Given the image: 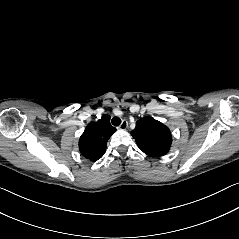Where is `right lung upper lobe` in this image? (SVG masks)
Returning <instances> with one entry per match:
<instances>
[{
  "label": "right lung upper lobe",
  "instance_id": "obj_1",
  "mask_svg": "<svg viewBox=\"0 0 239 239\" xmlns=\"http://www.w3.org/2000/svg\"><path fill=\"white\" fill-rule=\"evenodd\" d=\"M110 116L104 115L97 122H90L79 140L80 153L91 161L100 159L107 146V141L116 131L110 125Z\"/></svg>",
  "mask_w": 239,
  "mask_h": 239
}]
</instances>
